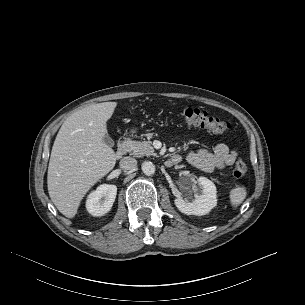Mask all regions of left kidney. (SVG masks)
I'll return each mask as SVG.
<instances>
[{"label": "left kidney", "mask_w": 305, "mask_h": 305, "mask_svg": "<svg viewBox=\"0 0 305 305\" xmlns=\"http://www.w3.org/2000/svg\"><path fill=\"white\" fill-rule=\"evenodd\" d=\"M198 183L203 189L201 195H197L192 201L182 198L174 200L178 210L186 215H206L217 204V191L214 183L205 177H199Z\"/></svg>", "instance_id": "left-kidney-1"}]
</instances>
